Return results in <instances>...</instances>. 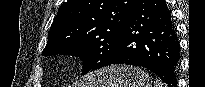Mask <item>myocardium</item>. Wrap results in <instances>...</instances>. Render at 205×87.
<instances>
[{"instance_id":"obj_1","label":"myocardium","mask_w":205,"mask_h":87,"mask_svg":"<svg viewBox=\"0 0 205 87\" xmlns=\"http://www.w3.org/2000/svg\"><path fill=\"white\" fill-rule=\"evenodd\" d=\"M70 64V61H66L65 63H64V65H69Z\"/></svg>"}]
</instances>
